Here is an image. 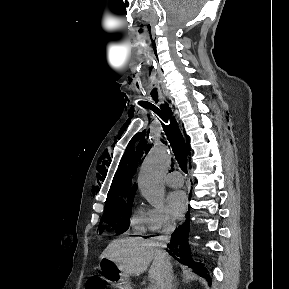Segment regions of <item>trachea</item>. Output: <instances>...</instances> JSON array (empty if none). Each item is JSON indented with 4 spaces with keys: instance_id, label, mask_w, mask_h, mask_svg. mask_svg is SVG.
Here are the masks:
<instances>
[{
    "instance_id": "3493384b",
    "label": "trachea",
    "mask_w": 289,
    "mask_h": 289,
    "mask_svg": "<svg viewBox=\"0 0 289 289\" xmlns=\"http://www.w3.org/2000/svg\"><path fill=\"white\" fill-rule=\"evenodd\" d=\"M154 112L165 122L163 125L167 139L169 140L173 152L178 160L183 172L187 173L188 152L184 138L178 127L175 118L172 116L170 107L165 106L162 110L153 108Z\"/></svg>"
}]
</instances>
